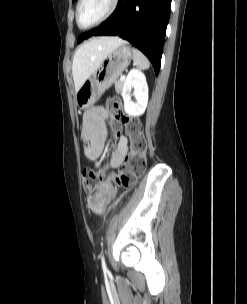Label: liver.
I'll use <instances>...</instances> for the list:
<instances>
[{"instance_id": "obj_1", "label": "liver", "mask_w": 247, "mask_h": 304, "mask_svg": "<svg viewBox=\"0 0 247 304\" xmlns=\"http://www.w3.org/2000/svg\"><path fill=\"white\" fill-rule=\"evenodd\" d=\"M125 43L118 37H98L81 44L75 51L72 64L75 90L81 88L111 52Z\"/></svg>"}]
</instances>
